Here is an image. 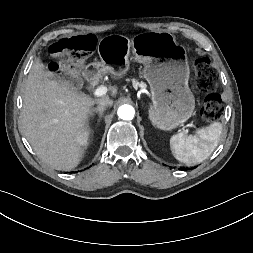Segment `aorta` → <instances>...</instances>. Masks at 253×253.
Wrapping results in <instances>:
<instances>
[{
  "instance_id": "1",
  "label": "aorta",
  "mask_w": 253,
  "mask_h": 253,
  "mask_svg": "<svg viewBox=\"0 0 253 253\" xmlns=\"http://www.w3.org/2000/svg\"><path fill=\"white\" fill-rule=\"evenodd\" d=\"M117 114L123 120H132L135 115V110L131 105H122L118 108Z\"/></svg>"
}]
</instances>
